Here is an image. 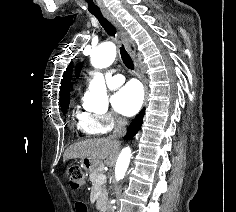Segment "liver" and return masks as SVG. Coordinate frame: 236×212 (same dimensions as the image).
<instances>
[{"instance_id": "1", "label": "liver", "mask_w": 236, "mask_h": 212, "mask_svg": "<svg viewBox=\"0 0 236 212\" xmlns=\"http://www.w3.org/2000/svg\"><path fill=\"white\" fill-rule=\"evenodd\" d=\"M119 145V141L111 137L86 139L66 149L63 161L90 158L101 163L102 160L106 159V165L112 166L114 165Z\"/></svg>"}]
</instances>
